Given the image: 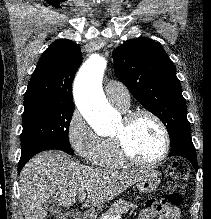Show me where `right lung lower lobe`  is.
<instances>
[{
	"instance_id": "1",
	"label": "right lung lower lobe",
	"mask_w": 211,
	"mask_h": 219,
	"mask_svg": "<svg viewBox=\"0 0 211 219\" xmlns=\"http://www.w3.org/2000/svg\"><path fill=\"white\" fill-rule=\"evenodd\" d=\"M50 149H56L54 147H42V148H38L32 152L26 153L24 155H21L19 164H18V174L21 171V169L23 168V166L27 163V161L33 157L35 154L41 152V151H45V150H50Z\"/></svg>"
}]
</instances>
